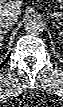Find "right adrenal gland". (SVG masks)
<instances>
[{
  "label": "right adrenal gland",
  "mask_w": 63,
  "mask_h": 107,
  "mask_svg": "<svg viewBox=\"0 0 63 107\" xmlns=\"http://www.w3.org/2000/svg\"><path fill=\"white\" fill-rule=\"evenodd\" d=\"M9 31V29H5L4 31H1V35H0V41H1V46H2V41L4 39L5 34Z\"/></svg>",
  "instance_id": "right-adrenal-gland-1"
}]
</instances>
